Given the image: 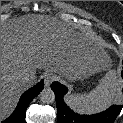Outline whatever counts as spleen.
Instances as JSON below:
<instances>
[{"instance_id": "1", "label": "spleen", "mask_w": 123, "mask_h": 123, "mask_svg": "<svg viewBox=\"0 0 123 123\" xmlns=\"http://www.w3.org/2000/svg\"><path fill=\"white\" fill-rule=\"evenodd\" d=\"M122 81L115 70H109L99 85L87 94H72L66 102L74 110L82 114L104 111L117 100Z\"/></svg>"}]
</instances>
